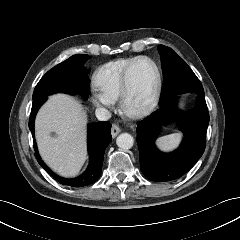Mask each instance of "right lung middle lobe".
<instances>
[{
    "label": "right lung middle lobe",
    "mask_w": 240,
    "mask_h": 240,
    "mask_svg": "<svg viewBox=\"0 0 240 240\" xmlns=\"http://www.w3.org/2000/svg\"><path fill=\"white\" fill-rule=\"evenodd\" d=\"M89 58L86 54H77L49 70L34 89L33 100L54 93L81 94L88 97V76L84 67Z\"/></svg>",
    "instance_id": "dd1d6c3e"
}]
</instances>
